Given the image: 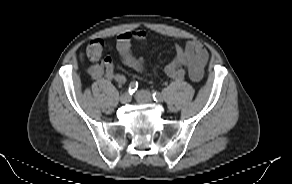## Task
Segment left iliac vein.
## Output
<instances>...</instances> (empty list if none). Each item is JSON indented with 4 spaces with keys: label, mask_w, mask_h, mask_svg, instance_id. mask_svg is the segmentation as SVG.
Masks as SVG:
<instances>
[{
    "label": "left iliac vein",
    "mask_w": 292,
    "mask_h": 184,
    "mask_svg": "<svg viewBox=\"0 0 292 184\" xmlns=\"http://www.w3.org/2000/svg\"><path fill=\"white\" fill-rule=\"evenodd\" d=\"M136 100L141 104L152 102V94L149 91L141 90L136 94Z\"/></svg>",
    "instance_id": "obj_1"
}]
</instances>
